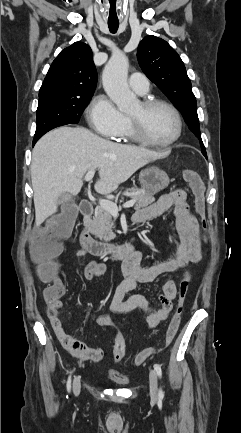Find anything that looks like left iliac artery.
<instances>
[{"label":"left iliac artery","instance_id":"left-iliac-artery-1","mask_svg":"<svg viewBox=\"0 0 241 433\" xmlns=\"http://www.w3.org/2000/svg\"><path fill=\"white\" fill-rule=\"evenodd\" d=\"M154 368H155V370H156V372H157L158 377L161 378V377H162L161 366H160L159 364H155V365H154ZM158 395H159L160 398H163V397H164V392L162 391L161 388H160V390H159V394H158Z\"/></svg>","mask_w":241,"mask_h":433}]
</instances>
